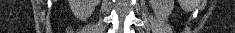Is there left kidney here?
<instances>
[{
	"label": "left kidney",
	"mask_w": 235,
	"mask_h": 33,
	"mask_svg": "<svg viewBox=\"0 0 235 33\" xmlns=\"http://www.w3.org/2000/svg\"><path fill=\"white\" fill-rule=\"evenodd\" d=\"M155 14L162 18H168L174 8V0H149Z\"/></svg>",
	"instance_id": "5707ae66"
}]
</instances>
